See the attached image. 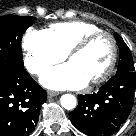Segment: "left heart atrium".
Listing matches in <instances>:
<instances>
[{
	"instance_id": "left-heart-atrium-1",
	"label": "left heart atrium",
	"mask_w": 136,
	"mask_h": 136,
	"mask_svg": "<svg viewBox=\"0 0 136 136\" xmlns=\"http://www.w3.org/2000/svg\"><path fill=\"white\" fill-rule=\"evenodd\" d=\"M40 81L43 86L54 90L80 89L89 82L83 73L70 62L48 70Z\"/></svg>"
}]
</instances>
